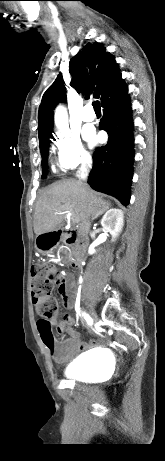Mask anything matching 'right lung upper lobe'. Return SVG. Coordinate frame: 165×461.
<instances>
[{"label": "right lung upper lobe", "mask_w": 165, "mask_h": 461, "mask_svg": "<svg viewBox=\"0 0 165 461\" xmlns=\"http://www.w3.org/2000/svg\"><path fill=\"white\" fill-rule=\"evenodd\" d=\"M69 69L72 76L71 86L78 93H85L86 98L90 95L100 98L102 107L128 92V86L121 77L115 57L106 52L103 44L87 43L82 51L71 59ZM65 98L66 88L62 74L59 73L54 83L44 93L39 106V138L52 131L53 109Z\"/></svg>", "instance_id": "1"}]
</instances>
